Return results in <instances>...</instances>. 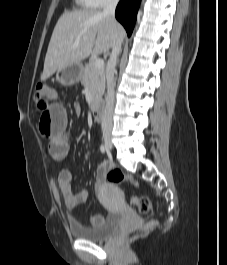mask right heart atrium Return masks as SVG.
I'll return each mask as SVG.
<instances>
[{
  "mask_svg": "<svg viewBox=\"0 0 227 265\" xmlns=\"http://www.w3.org/2000/svg\"><path fill=\"white\" fill-rule=\"evenodd\" d=\"M117 0H91L93 7L101 8Z\"/></svg>",
  "mask_w": 227,
  "mask_h": 265,
  "instance_id": "1",
  "label": "right heart atrium"
}]
</instances>
